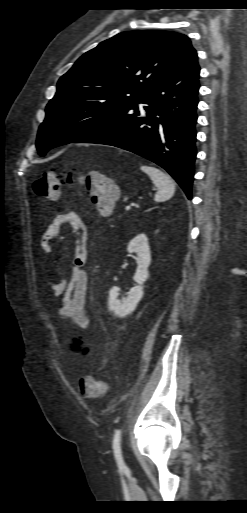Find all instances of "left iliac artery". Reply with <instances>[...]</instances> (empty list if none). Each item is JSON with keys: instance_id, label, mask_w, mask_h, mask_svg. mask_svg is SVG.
<instances>
[{"instance_id": "44dca946", "label": "left iliac artery", "mask_w": 247, "mask_h": 513, "mask_svg": "<svg viewBox=\"0 0 247 513\" xmlns=\"http://www.w3.org/2000/svg\"><path fill=\"white\" fill-rule=\"evenodd\" d=\"M112 447H113V451H114V457H115V460L117 462L119 469L126 470L127 466L125 465V462L123 460L122 449H121V430L120 429L116 430V432L114 434Z\"/></svg>"}]
</instances>
